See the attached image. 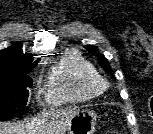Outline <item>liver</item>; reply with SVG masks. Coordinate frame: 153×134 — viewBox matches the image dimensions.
I'll return each mask as SVG.
<instances>
[{"label":"liver","mask_w":153,"mask_h":134,"mask_svg":"<svg viewBox=\"0 0 153 134\" xmlns=\"http://www.w3.org/2000/svg\"><path fill=\"white\" fill-rule=\"evenodd\" d=\"M76 111V108H66L45 113L31 122L3 123L0 124V134H42L44 132L64 134ZM48 118L51 120L48 121Z\"/></svg>","instance_id":"1"}]
</instances>
